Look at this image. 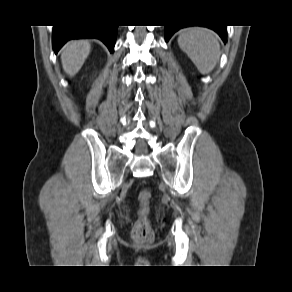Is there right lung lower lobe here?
<instances>
[{"label": "right lung lower lobe", "mask_w": 292, "mask_h": 292, "mask_svg": "<svg viewBox=\"0 0 292 292\" xmlns=\"http://www.w3.org/2000/svg\"><path fill=\"white\" fill-rule=\"evenodd\" d=\"M117 26H93V25H75L60 27L54 26L53 29V48L54 52L58 50L71 39L96 38L101 40L113 52L116 39Z\"/></svg>", "instance_id": "right-lung-lower-lobe-1"}]
</instances>
